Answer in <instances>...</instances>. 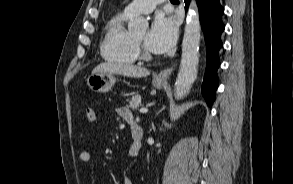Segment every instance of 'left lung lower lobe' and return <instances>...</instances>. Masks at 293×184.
<instances>
[{
  "label": "left lung lower lobe",
  "mask_w": 293,
  "mask_h": 184,
  "mask_svg": "<svg viewBox=\"0 0 293 184\" xmlns=\"http://www.w3.org/2000/svg\"><path fill=\"white\" fill-rule=\"evenodd\" d=\"M186 10L189 0H185ZM200 22L206 41L207 65L202 83L201 93L207 104L212 105L215 100V91L218 87L217 69L220 65L218 51L222 47L220 35L224 30L222 14L224 8L220 0H197Z\"/></svg>",
  "instance_id": "left-lung-lower-lobe-1"
}]
</instances>
